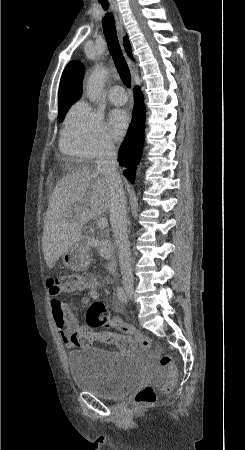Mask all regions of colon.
Instances as JSON below:
<instances>
[{
	"mask_svg": "<svg viewBox=\"0 0 245 450\" xmlns=\"http://www.w3.org/2000/svg\"><path fill=\"white\" fill-rule=\"evenodd\" d=\"M90 279L82 273H68L59 276L54 281V285L63 291H68L74 287L88 285ZM87 323L90 327H109L111 324L118 325L119 329L124 332H129L132 335H117L109 331H104L101 334H96L91 328H79L75 332V339L80 345H89L95 339L99 338L102 342L107 344H115L121 350H128L134 346L146 349L150 347L149 338L141 335L135 331L130 325L111 318L107 307L101 301H93L87 308ZM159 364L162 368L167 369L163 389L170 391L176 383V370L173 367V359L169 354H163L160 357ZM134 402L138 405L152 404L156 402V393L154 389L145 385L138 389L135 394Z\"/></svg>",
	"mask_w": 245,
	"mask_h": 450,
	"instance_id": "colon-1",
	"label": "colon"
}]
</instances>
